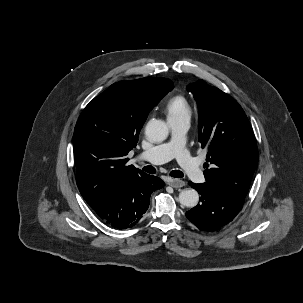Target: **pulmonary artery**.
Returning a JSON list of instances; mask_svg holds the SVG:
<instances>
[{
    "label": "pulmonary artery",
    "mask_w": 303,
    "mask_h": 303,
    "mask_svg": "<svg viewBox=\"0 0 303 303\" xmlns=\"http://www.w3.org/2000/svg\"><path fill=\"white\" fill-rule=\"evenodd\" d=\"M189 124V118L169 122L170 140L142 152L138 159L152 164H162L175 158L191 180L197 183L204 182L205 177L199 164L184 147L185 134L189 129Z\"/></svg>",
    "instance_id": "e3ab8cb5"
}]
</instances>
